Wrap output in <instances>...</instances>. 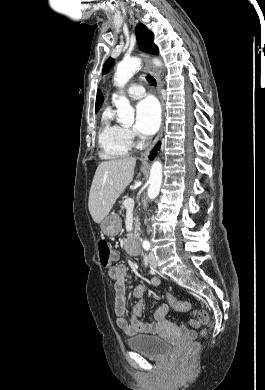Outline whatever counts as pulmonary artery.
Masks as SVG:
<instances>
[{"label":"pulmonary artery","instance_id":"1","mask_svg":"<svg viewBox=\"0 0 265 390\" xmlns=\"http://www.w3.org/2000/svg\"><path fill=\"white\" fill-rule=\"evenodd\" d=\"M127 94L133 99H139L145 95V88L139 83H132L127 88ZM116 95V93L113 94V96Z\"/></svg>","mask_w":265,"mask_h":390}]
</instances>
